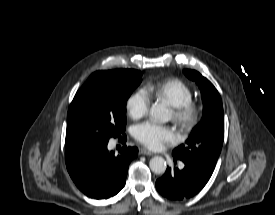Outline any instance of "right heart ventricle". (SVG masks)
I'll return each mask as SVG.
<instances>
[{
  "label": "right heart ventricle",
  "instance_id": "obj_1",
  "mask_svg": "<svg viewBox=\"0 0 275 215\" xmlns=\"http://www.w3.org/2000/svg\"><path fill=\"white\" fill-rule=\"evenodd\" d=\"M147 93L156 100L166 101L172 107L181 106L193 98L191 88L178 78H167L150 84Z\"/></svg>",
  "mask_w": 275,
  "mask_h": 215
}]
</instances>
